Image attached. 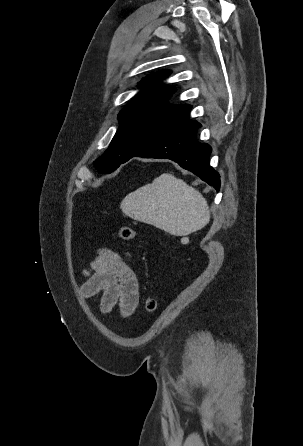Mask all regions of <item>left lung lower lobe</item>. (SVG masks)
I'll return each instance as SVG.
<instances>
[{"label": "left lung lower lobe", "instance_id": "obj_1", "mask_svg": "<svg viewBox=\"0 0 303 446\" xmlns=\"http://www.w3.org/2000/svg\"><path fill=\"white\" fill-rule=\"evenodd\" d=\"M200 127V123L188 118L172 134L152 143L138 153L126 157L121 163H125L134 156L158 159L168 158L199 176L201 180L219 191V174L209 164L212 148L208 144L199 143L196 138Z\"/></svg>", "mask_w": 303, "mask_h": 446}]
</instances>
